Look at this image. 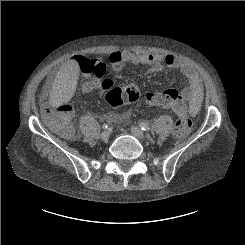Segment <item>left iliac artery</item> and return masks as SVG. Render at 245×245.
I'll use <instances>...</instances> for the list:
<instances>
[{"label": "left iliac artery", "instance_id": "44dca946", "mask_svg": "<svg viewBox=\"0 0 245 245\" xmlns=\"http://www.w3.org/2000/svg\"><path fill=\"white\" fill-rule=\"evenodd\" d=\"M139 126L143 131H147L150 128L146 122H140Z\"/></svg>", "mask_w": 245, "mask_h": 245}]
</instances>
